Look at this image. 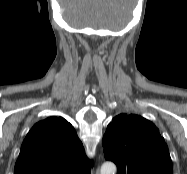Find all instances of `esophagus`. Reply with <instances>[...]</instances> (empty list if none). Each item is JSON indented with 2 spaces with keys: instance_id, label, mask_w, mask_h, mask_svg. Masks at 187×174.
I'll use <instances>...</instances> for the list:
<instances>
[{
  "instance_id": "esophagus-1",
  "label": "esophagus",
  "mask_w": 187,
  "mask_h": 174,
  "mask_svg": "<svg viewBox=\"0 0 187 174\" xmlns=\"http://www.w3.org/2000/svg\"><path fill=\"white\" fill-rule=\"evenodd\" d=\"M96 174H99V168L96 170Z\"/></svg>"
}]
</instances>
